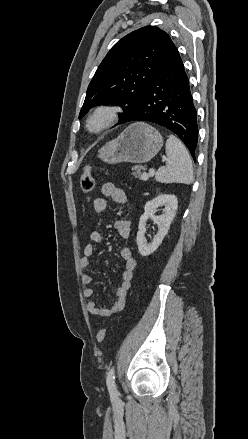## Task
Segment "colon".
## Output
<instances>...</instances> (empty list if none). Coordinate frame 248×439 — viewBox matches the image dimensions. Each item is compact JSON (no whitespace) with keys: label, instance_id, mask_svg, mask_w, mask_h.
<instances>
[{"label":"colon","instance_id":"colon-1","mask_svg":"<svg viewBox=\"0 0 248 439\" xmlns=\"http://www.w3.org/2000/svg\"><path fill=\"white\" fill-rule=\"evenodd\" d=\"M95 186V182H94V177H93V172H92V168L91 166H86L80 176V187L81 190L89 195L91 194V192L93 191ZM106 334H107V329L106 328H101L98 333H97V341L99 343H103L105 338H106Z\"/></svg>","mask_w":248,"mask_h":439}]
</instances>
